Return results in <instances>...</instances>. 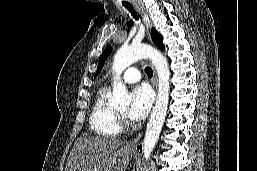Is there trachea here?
I'll return each instance as SVG.
<instances>
[{
  "label": "trachea",
  "mask_w": 257,
  "mask_h": 171,
  "mask_svg": "<svg viewBox=\"0 0 257 171\" xmlns=\"http://www.w3.org/2000/svg\"><path fill=\"white\" fill-rule=\"evenodd\" d=\"M122 5L131 13V15L133 16V18L135 20L139 19L135 9L133 8V6L130 3H123ZM145 72H146L148 77H152L153 71L149 66H147L145 68Z\"/></svg>",
  "instance_id": "1"
}]
</instances>
